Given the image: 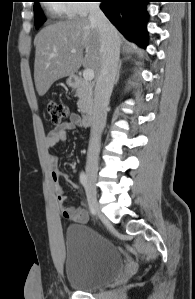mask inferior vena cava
<instances>
[{
	"mask_svg": "<svg viewBox=\"0 0 195 299\" xmlns=\"http://www.w3.org/2000/svg\"><path fill=\"white\" fill-rule=\"evenodd\" d=\"M89 21L98 27L102 64L95 86L91 134L87 152V167H96L100 152L101 134L106 125L107 106L118 69L120 41L117 30L106 18L98 2L89 4Z\"/></svg>",
	"mask_w": 195,
	"mask_h": 299,
	"instance_id": "602c4592",
	"label": "inferior vena cava"
}]
</instances>
